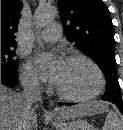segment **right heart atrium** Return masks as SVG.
I'll return each mask as SVG.
<instances>
[{
	"label": "right heart atrium",
	"mask_w": 123,
	"mask_h": 130,
	"mask_svg": "<svg viewBox=\"0 0 123 130\" xmlns=\"http://www.w3.org/2000/svg\"><path fill=\"white\" fill-rule=\"evenodd\" d=\"M20 77L25 89L32 92H39L42 90L43 82L30 64L26 63L22 66Z\"/></svg>",
	"instance_id": "right-heart-atrium-1"
}]
</instances>
